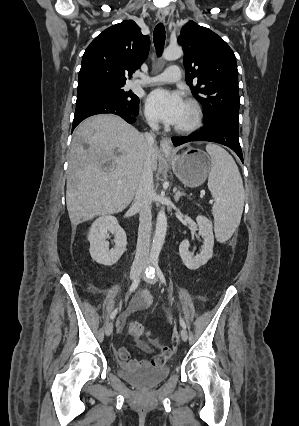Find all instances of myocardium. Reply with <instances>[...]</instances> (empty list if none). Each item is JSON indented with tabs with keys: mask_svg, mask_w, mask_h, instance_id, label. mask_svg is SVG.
Returning <instances> with one entry per match:
<instances>
[{
	"mask_svg": "<svg viewBox=\"0 0 299 426\" xmlns=\"http://www.w3.org/2000/svg\"><path fill=\"white\" fill-rule=\"evenodd\" d=\"M186 104L192 109L193 117L191 122L186 126H176L179 133H191L199 129L203 123L204 114L200 104L194 99H188Z\"/></svg>",
	"mask_w": 299,
	"mask_h": 426,
	"instance_id": "1",
	"label": "myocardium"
}]
</instances>
